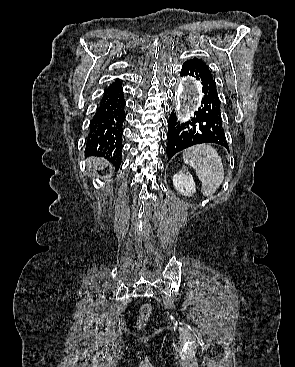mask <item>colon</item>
Wrapping results in <instances>:
<instances>
[{
  "instance_id": "colon-1",
  "label": "colon",
  "mask_w": 295,
  "mask_h": 367,
  "mask_svg": "<svg viewBox=\"0 0 295 367\" xmlns=\"http://www.w3.org/2000/svg\"><path fill=\"white\" fill-rule=\"evenodd\" d=\"M148 314H149V307L147 305H145L141 308L140 321L141 322L145 321Z\"/></svg>"
}]
</instances>
